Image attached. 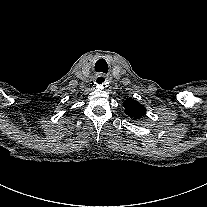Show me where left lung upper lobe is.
Returning <instances> with one entry per match:
<instances>
[{
    "instance_id": "5c2ea615",
    "label": "left lung upper lobe",
    "mask_w": 207,
    "mask_h": 207,
    "mask_svg": "<svg viewBox=\"0 0 207 207\" xmlns=\"http://www.w3.org/2000/svg\"><path fill=\"white\" fill-rule=\"evenodd\" d=\"M125 113L133 120H138L146 114V108L134 99H126L123 102Z\"/></svg>"
}]
</instances>
